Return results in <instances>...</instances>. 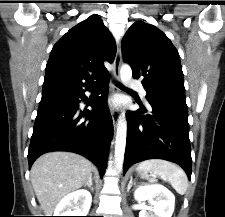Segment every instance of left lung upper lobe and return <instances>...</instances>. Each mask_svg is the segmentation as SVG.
Wrapping results in <instances>:
<instances>
[{
	"label": "left lung upper lobe",
	"instance_id": "5c2ea615",
	"mask_svg": "<svg viewBox=\"0 0 225 217\" xmlns=\"http://www.w3.org/2000/svg\"><path fill=\"white\" fill-rule=\"evenodd\" d=\"M122 51L133 78L142 79L146 97L185 99L179 53L161 30L135 22L122 39Z\"/></svg>",
	"mask_w": 225,
	"mask_h": 217
}]
</instances>
